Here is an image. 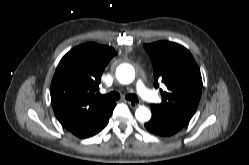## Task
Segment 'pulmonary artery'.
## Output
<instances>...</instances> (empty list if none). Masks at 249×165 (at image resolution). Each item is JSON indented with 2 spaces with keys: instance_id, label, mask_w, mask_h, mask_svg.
Listing matches in <instances>:
<instances>
[{
  "instance_id": "1",
  "label": "pulmonary artery",
  "mask_w": 249,
  "mask_h": 165,
  "mask_svg": "<svg viewBox=\"0 0 249 165\" xmlns=\"http://www.w3.org/2000/svg\"><path fill=\"white\" fill-rule=\"evenodd\" d=\"M136 90L140 97L147 102H159V97L157 94L148 89L143 81L139 79L136 84Z\"/></svg>"
}]
</instances>
